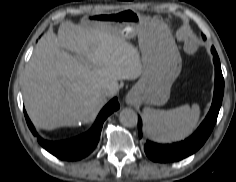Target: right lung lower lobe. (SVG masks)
<instances>
[{"label":"right lung lower lobe","mask_w":236,"mask_h":182,"mask_svg":"<svg viewBox=\"0 0 236 182\" xmlns=\"http://www.w3.org/2000/svg\"><path fill=\"white\" fill-rule=\"evenodd\" d=\"M119 107L120 106L117 98L112 99L101 110L94 126L88 132L78 137L60 142H50L43 140L39 137L38 141L43 148H45L48 152H50L59 159L67 161L82 159L94 150L95 146L99 141L103 122L111 113L119 109ZM24 114L28 127L30 128L32 133L37 136V133L25 111Z\"/></svg>","instance_id":"98d812e1"}]
</instances>
